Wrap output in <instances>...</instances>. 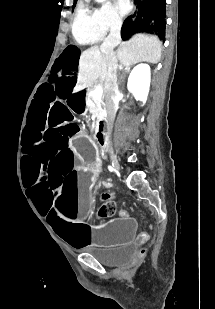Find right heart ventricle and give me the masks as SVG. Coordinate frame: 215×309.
<instances>
[{
  "label": "right heart ventricle",
  "instance_id": "obj_1",
  "mask_svg": "<svg viewBox=\"0 0 215 309\" xmlns=\"http://www.w3.org/2000/svg\"><path fill=\"white\" fill-rule=\"evenodd\" d=\"M97 20L93 19V14H78L77 19H73L72 33L74 40L78 44H85L87 41L95 42L100 34H103V27H96ZM115 44V43H110Z\"/></svg>",
  "mask_w": 215,
  "mask_h": 309
}]
</instances>
